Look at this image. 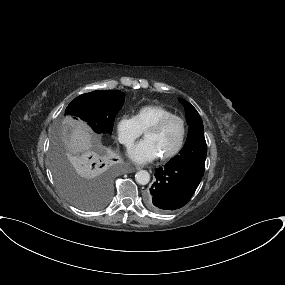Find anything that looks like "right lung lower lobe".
<instances>
[{"instance_id": "right-lung-lower-lobe-1", "label": "right lung lower lobe", "mask_w": 285, "mask_h": 285, "mask_svg": "<svg viewBox=\"0 0 285 285\" xmlns=\"http://www.w3.org/2000/svg\"><path fill=\"white\" fill-rule=\"evenodd\" d=\"M96 169V168H95ZM95 169H90V171H93V170H95Z\"/></svg>"}]
</instances>
